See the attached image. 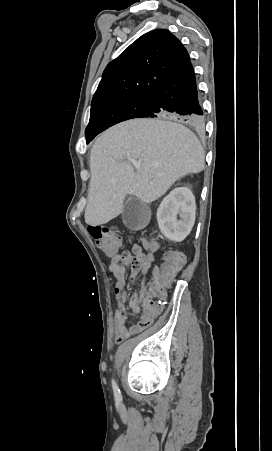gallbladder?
I'll return each instance as SVG.
<instances>
[{
	"label": "gallbladder",
	"mask_w": 272,
	"mask_h": 451,
	"mask_svg": "<svg viewBox=\"0 0 272 451\" xmlns=\"http://www.w3.org/2000/svg\"><path fill=\"white\" fill-rule=\"evenodd\" d=\"M122 220L129 229H142L149 222V206L135 196L128 198L124 204Z\"/></svg>",
	"instance_id": "gallbladder-1"
}]
</instances>
